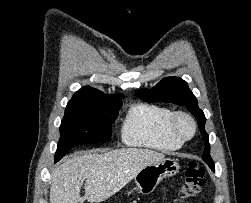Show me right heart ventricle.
Returning a JSON list of instances; mask_svg holds the SVG:
<instances>
[{
  "label": "right heart ventricle",
  "mask_w": 251,
  "mask_h": 203,
  "mask_svg": "<svg viewBox=\"0 0 251 203\" xmlns=\"http://www.w3.org/2000/svg\"><path fill=\"white\" fill-rule=\"evenodd\" d=\"M173 113L170 108L157 104L140 103L132 106L121 126L123 143L159 151L179 149L183 141L169 129Z\"/></svg>",
  "instance_id": "obj_1"
}]
</instances>
